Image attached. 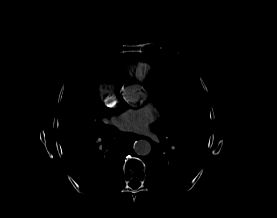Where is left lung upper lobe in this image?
I'll use <instances>...</instances> for the list:
<instances>
[{"instance_id": "left-lung-upper-lobe-1", "label": "left lung upper lobe", "mask_w": 277, "mask_h": 218, "mask_svg": "<svg viewBox=\"0 0 277 218\" xmlns=\"http://www.w3.org/2000/svg\"><path fill=\"white\" fill-rule=\"evenodd\" d=\"M182 58V57H180ZM192 71L190 84L184 82L179 101L169 118L158 128L160 134L182 132L192 135L209 136L210 116L208 101L196 72L187 60L182 58ZM193 101V105L191 103Z\"/></svg>"}]
</instances>
